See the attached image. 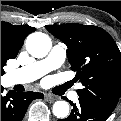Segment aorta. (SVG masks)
<instances>
[{
  "label": "aorta",
  "mask_w": 121,
  "mask_h": 121,
  "mask_svg": "<svg viewBox=\"0 0 121 121\" xmlns=\"http://www.w3.org/2000/svg\"><path fill=\"white\" fill-rule=\"evenodd\" d=\"M52 47L51 39L48 35L35 32L26 39L27 51L36 58L45 57ZM53 114L58 118H65L69 114V104L66 101H56L53 105Z\"/></svg>",
  "instance_id": "obj_1"
}]
</instances>
